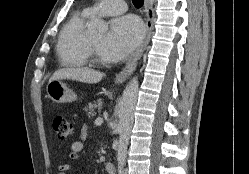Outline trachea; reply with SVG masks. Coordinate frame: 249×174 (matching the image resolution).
<instances>
[{
  "label": "trachea",
  "instance_id": "1",
  "mask_svg": "<svg viewBox=\"0 0 249 174\" xmlns=\"http://www.w3.org/2000/svg\"><path fill=\"white\" fill-rule=\"evenodd\" d=\"M132 2L136 8H140L143 6L144 0H132Z\"/></svg>",
  "mask_w": 249,
  "mask_h": 174
}]
</instances>
